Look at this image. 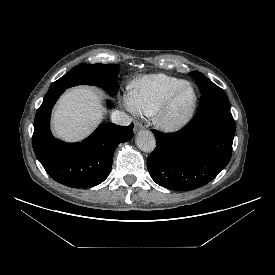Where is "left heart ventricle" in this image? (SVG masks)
I'll list each match as a JSON object with an SVG mask.
<instances>
[{
  "instance_id": "b2bd125f",
  "label": "left heart ventricle",
  "mask_w": 275,
  "mask_h": 275,
  "mask_svg": "<svg viewBox=\"0 0 275 275\" xmlns=\"http://www.w3.org/2000/svg\"><path fill=\"white\" fill-rule=\"evenodd\" d=\"M192 99V92L189 89H184L177 97L172 110V116L177 117L183 114L188 108Z\"/></svg>"
}]
</instances>
